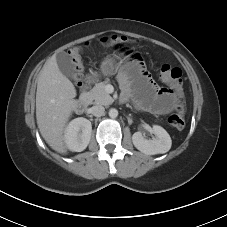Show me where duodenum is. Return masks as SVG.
I'll list each match as a JSON object with an SVG mask.
<instances>
[{
    "instance_id": "1",
    "label": "duodenum",
    "mask_w": 227,
    "mask_h": 227,
    "mask_svg": "<svg viewBox=\"0 0 227 227\" xmlns=\"http://www.w3.org/2000/svg\"><path fill=\"white\" fill-rule=\"evenodd\" d=\"M89 83H90V80L87 81L86 87L89 85ZM89 100L90 98L88 94L85 91L82 92L80 96L74 101V104H73L74 111L77 113H81L88 105Z\"/></svg>"
}]
</instances>
